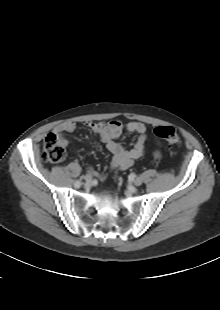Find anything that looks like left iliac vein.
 Segmentation results:
<instances>
[{
	"label": "left iliac vein",
	"instance_id": "obj_1",
	"mask_svg": "<svg viewBox=\"0 0 220 310\" xmlns=\"http://www.w3.org/2000/svg\"><path fill=\"white\" fill-rule=\"evenodd\" d=\"M133 184L135 186H140L142 184V179L137 177L135 180H133Z\"/></svg>",
	"mask_w": 220,
	"mask_h": 310
}]
</instances>
